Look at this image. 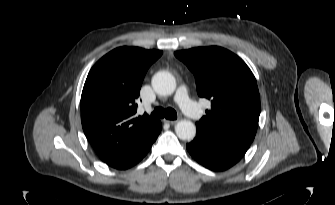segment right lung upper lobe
Returning a JSON list of instances; mask_svg holds the SVG:
<instances>
[{"mask_svg": "<svg viewBox=\"0 0 335 205\" xmlns=\"http://www.w3.org/2000/svg\"><path fill=\"white\" fill-rule=\"evenodd\" d=\"M162 53L120 47L90 70L81 95V122L104 162L134 157L158 137L161 122L147 114L137 116L136 101L148 68Z\"/></svg>", "mask_w": 335, "mask_h": 205, "instance_id": "1", "label": "right lung upper lobe"}]
</instances>
